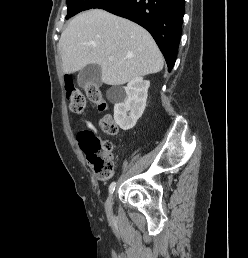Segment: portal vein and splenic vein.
<instances>
[{"label":"portal vein and splenic vein","mask_w":248,"mask_h":258,"mask_svg":"<svg viewBox=\"0 0 248 258\" xmlns=\"http://www.w3.org/2000/svg\"><path fill=\"white\" fill-rule=\"evenodd\" d=\"M108 59H109L110 61H112V60L114 59V57H113V56H110Z\"/></svg>","instance_id":"obj_1"}]
</instances>
